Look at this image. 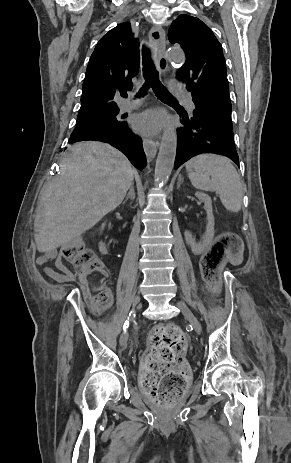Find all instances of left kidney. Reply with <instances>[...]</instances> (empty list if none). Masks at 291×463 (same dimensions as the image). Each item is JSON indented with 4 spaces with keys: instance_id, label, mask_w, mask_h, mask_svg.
I'll return each mask as SVG.
<instances>
[{
    "instance_id": "left-kidney-1",
    "label": "left kidney",
    "mask_w": 291,
    "mask_h": 463,
    "mask_svg": "<svg viewBox=\"0 0 291 463\" xmlns=\"http://www.w3.org/2000/svg\"><path fill=\"white\" fill-rule=\"evenodd\" d=\"M195 196L204 203V209L207 214L206 232L201 242H196L195 238L189 231H185L186 243L190 245L192 252L196 255L202 254L210 245L214 237V216L212 211V200L209 195L203 192L195 193Z\"/></svg>"
}]
</instances>
